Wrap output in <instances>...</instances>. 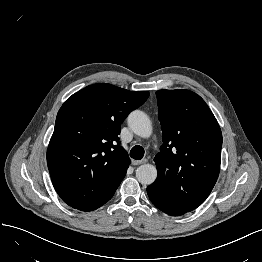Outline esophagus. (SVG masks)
Returning <instances> with one entry per match:
<instances>
[{
	"label": "esophagus",
	"mask_w": 262,
	"mask_h": 262,
	"mask_svg": "<svg viewBox=\"0 0 262 262\" xmlns=\"http://www.w3.org/2000/svg\"><path fill=\"white\" fill-rule=\"evenodd\" d=\"M146 159H143V160H132V164L133 165H141V164H144L146 163Z\"/></svg>",
	"instance_id": "34e87169"
}]
</instances>
